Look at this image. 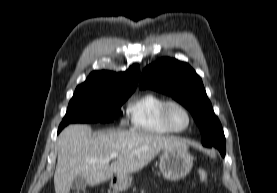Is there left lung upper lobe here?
Returning <instances> with one entry per match:
<instances>
[{"mask_svg":"<svg viewBox=\"0 0 277 193\" xmlns=\"http://www.w3.org/2000/svg\"><path fill=\"white\" fill-rule=\"evenodd\" d=\"M140 88H151L172 96L191 112L200 128L202 144L226 153L225 136L219 119L214 114L202 79L186 63L162 58L142 72Z\"/></svg>","mask_w":277,"mask_h":193,"instance_id":"left-lung-upper-lobe-1","label":"left lung upper lobe"}]
</instances>
